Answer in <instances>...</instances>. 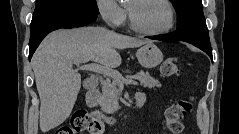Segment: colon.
Instances as JSON below:
<instances>
[{
	"label": "colon",
	"mask_w": 239,
	"mask_h": 134,
	"mask_svg": "<svg viewBox=\"0 0 239 134\" xmlns=\"http://www.w3.org/2000/svg\"><path fill=\"white\" fill-rule=\"evenodd\" d=\"M161 72L165 77H175L179 74L180 68L176 58L170 57L163 61ZM192 110L191 99H181L172 104L165 112L166 124L169 130L174 134H180L184 130L181 122ZM103 126L94 117L86 111L75 112L71 117V122L67 126L58 128L55 134H102Z\"/></svg>",
	"instance_id": "obj_1"
}]
</instances>
